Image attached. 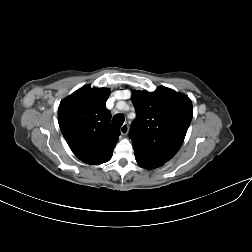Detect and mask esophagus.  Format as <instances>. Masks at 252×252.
I'll list each match as a JSON object with an SVG mask.
<instances>
[{
  "mask_svg": "<svg viewBox=\"0 0 252 252\" xmlns=\"http://www.w3.org/2000/svg\"><path fill=\"white\" fill-rule=\"evenodd\" d=\"M129 131V126L127 123H124L121 127H120V132L123 135H126Z\"/></svg>",
  "mask_w": 252,
  "mask_h": 252,
  "instance_id": "obj_1",
  "label": "esophagus"
}]
</instances>
